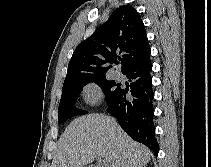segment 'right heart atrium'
<instances>
[{
  "label": "right heart atrium",
  "mask_w": 211,
  "mask_h": 167,
  "mask_svg": "<svg viewBox=\"0 0 211 167\" xmlns=\"http://www.w3.org/2000/svg\"><path fill=\"white\" fill-rule=\"evenodd\" d=\"M84 98L89 103L97 102L101 97V91L96 84H88L83 91Z\"/></svg>",
  "instance_id": "right-heart-atrium-1"
}]
</instances>
